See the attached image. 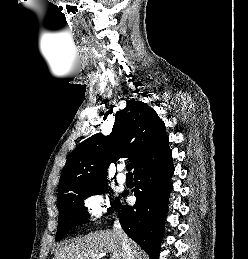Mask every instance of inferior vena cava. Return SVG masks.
<instances>
[{"mask_svg":"<svg viewBox=\"0 0 248 259\" xmlns=\"http://www.w3.org/2000/svg\"><path fill=\"white\" fill-rule=\"evenodd\" d=\"M113 231L121 238V243L124 250V258L135 259L128 237L123 231L118 220L114 222Z\"/></svg>","mask_w":248,"mask_h":259,"instance_id":"1","label":"inferior vena cava"}]
</instances>
